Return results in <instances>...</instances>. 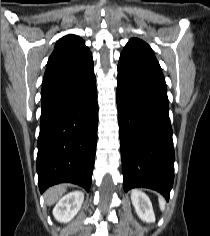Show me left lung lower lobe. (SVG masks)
<instances>
[{"label": "left lung lower lobe", "instance_id": "obj_1", "mask_svg": "<svg viewBox=\"0 0 210 236\" xmlns=\"http://www.w3.org/2000/svg\"><path fill=\"white\" fill-rule=\"evenodd\" d=\"M117 107L124 190L151 188L168 200L175 157L162 72L119 62Z\"/></svg>", "mask_w": 210, "mask_h": 236}]
</instances>
